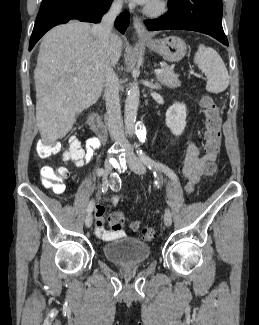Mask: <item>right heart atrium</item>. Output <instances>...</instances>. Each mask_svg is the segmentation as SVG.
<instances>
[{"label": "right heart atrium", "mask_w": 259, "mask_h": 325, "mask_svg": "<svg viewBox=\"0 0 259 325\" xmlns=\"http://www.w3.org/2000/svg\"><path fill=\"white\" fill-rule=\"evenodd\" d=\"M113 4L115 6H119L121 4V0H113Z\"/></svg>", "instance_id": "d8ad5b80"}]
</instances>
